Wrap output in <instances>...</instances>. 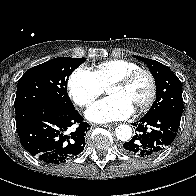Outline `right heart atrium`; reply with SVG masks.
<instances>
[{
	"instance_id": "d8ad5b80",
	"label": "right heart atrium",
	"mask_w": 196,
	"mask_h": 196,
	"mask_svg": "<svg viewBox=\"0 0 196 196\" xmlns=\"http://www.w3.org/2000/svg\"><path fill=\"white\" fill-rule=\"evenodd\" d=\"M69 95L74 103L89 107L104 92L95 73L85 67L75 69L68 80Z\"/></svg>"
}]
</instances>
